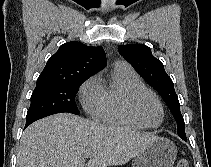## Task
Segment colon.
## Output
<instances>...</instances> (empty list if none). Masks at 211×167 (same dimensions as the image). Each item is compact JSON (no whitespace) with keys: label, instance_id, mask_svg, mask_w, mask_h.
Instances as JSON below:
<instances>
[{"label":"colon","instance_id":"obj_1","mask_svg":"<svg viewBox=\"0 0 211 167\" xmlns=\"http://www.w3.org/2000/svg\"><path fill=\"white\" fill-rule=\"evenodd\" d=\"M175 167H190V164L188 162V160L186 159H181Z\"/></svg>","mask_w":211,"mask_h":167}]
</instances>
